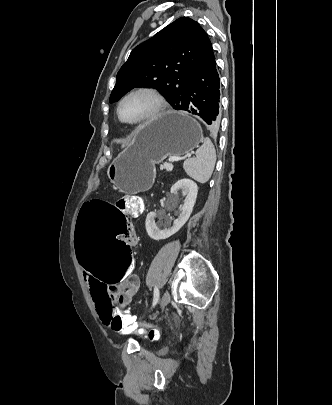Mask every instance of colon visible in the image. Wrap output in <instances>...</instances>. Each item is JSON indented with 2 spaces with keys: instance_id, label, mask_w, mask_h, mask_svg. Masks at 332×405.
Here are the masks:
<instances>
[{
  "instance_id": "colon-1",
  "label": "colon",
  "mask_w": 332,
  "mask_h": 405,
  "mask_svg": "<svg viewBox=\"0 0 332 405\" xmlns=\"http://www.w3.org/2000/svg\"><path fill=\"white\" fill-rule=\"evenodd\" d=\"M127 210L134 214L143 211L142 200L126 195L115 202L104 197H91L82 202L78 220H73L75 254L84 275H96L106 287H121L122 281H132L135 273L132 249H136L135 227ZM111 328L115 331H138L140 338L155 339L161 332L158 325L139 322L129 307L119 312L112 309Z\"/></svg>"
}]
</instances>
